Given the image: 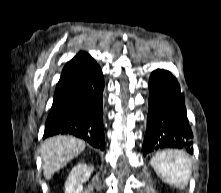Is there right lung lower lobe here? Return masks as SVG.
I'll return each instance as SVG.
<instances>
[{"instance_id":"obj_1","label":"right lung lower lobe","mask_w":221,"mask_h":193,"mask_svg":"<svg viewBox=\"0 0 221 193\" xmlns=\"http://www.w3.org/2000/svg\"><path fill=\"white\" fill-rule=\"evenodd\" d=\"M103 90L101 68L93 61L54 95L43 138L71 134L104 150Z\"/></svg>"}]
</instances>
